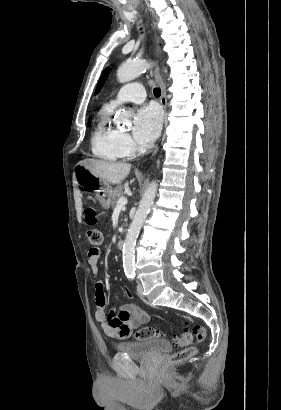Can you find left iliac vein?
Wrapping results in <instances>:
<instances>
[{
    "mask_svg": "<svg viewBox=\"0 0 281 410\" xmlns=\"http://www.w3.org/2000/svg\"><path fill=\"white\" fill-rule=\"evenodd\" d=\"M137 292L140 296H143V286L140 282L137 283Z\"/></svg>",
    "mask_w": 281,
    "mask_h": 410,
    "instance_id": "1",
    "label": "left iliac vein"
}]
</instances>
